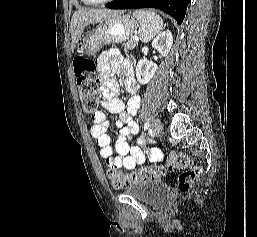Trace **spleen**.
<instances>
[{"mask_svg":"<svg viewBox=\"0 0 257 237\" xmlns=\"http://www.w3.org/2000/svg\"><path fill=\"white\" fill-rule=\"evenodd\" d=\"M133 15L140 22L138 33L144 43L149 42L163 29V19L154 12L138 10Z\"/></svg>","mask_w":257,"mask_h":237,"instance_id":"1","label":"spleen"}]
</instances>
